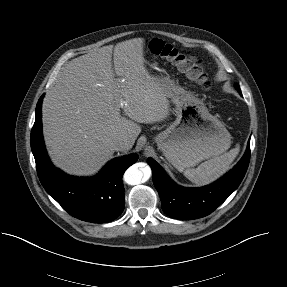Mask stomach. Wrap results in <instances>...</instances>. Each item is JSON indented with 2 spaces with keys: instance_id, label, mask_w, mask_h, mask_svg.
Wrapping results in <instances>:
<instances>
[{
  "instance_id": "obj_1",
  "label": "stomach",
  "mask_w": 287,
  "mask_h": 287,
  "mask_svg": "<svg viewBox=\"0 0 287 287\" xmlns=\"http://www.w3.org/2000/svg\"><path fill=\"white\" fill-rule=\"evenodd\" d=\"M155 77L175 104L176 119L154 141L175 168L183 171L229 149L230 133L201 100L169 78Z\"/></svg>"
}]
</instances>
